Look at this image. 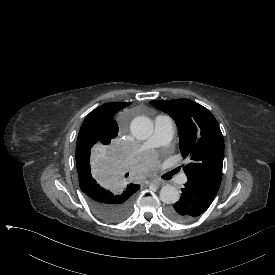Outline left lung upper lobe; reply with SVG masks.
<instances>
[{"label": "left lung upper lobe", "mask_w": 275, "mask_h": 275, "mask_svg": "<svg viewBox=\"0 0 275 275\" xmlns=\"http://www.w3.org/2000/svg\"><path fill=\"white\" fill-rule=\"evenodd\" d=\"M169 114L179 132V149L191 162L183 167L189 181H196L218 192L223 165L224 141L212 113L189 99L151 101Z\"/></svg>", "instance_id": "obj_1"}]
</instances>
